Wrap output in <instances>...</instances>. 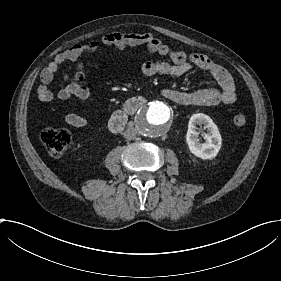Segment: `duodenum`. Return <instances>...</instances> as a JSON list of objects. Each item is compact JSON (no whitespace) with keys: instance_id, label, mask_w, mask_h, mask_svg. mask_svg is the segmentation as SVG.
<instances>
[{"instance_id":"1","label":"duodenum","mask_w":281,"mask_h":281,"mask_svg":"<svg viewBox=\"0 0 281 281\" xmlns=\"http://www.w3.org/2000/svg\"><path fill=\"white\" fill-rule=\"evenodd\" d=\"M145 103L146 99L142 96L128 99L120 109L112 114L109 129L114 133L122 131L128 123L129 116L136 113Z\"/></svg>"}]
</instances>
